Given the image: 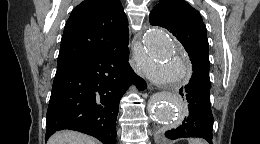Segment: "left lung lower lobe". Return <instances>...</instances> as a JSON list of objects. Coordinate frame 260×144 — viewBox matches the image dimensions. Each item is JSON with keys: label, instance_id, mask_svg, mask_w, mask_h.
<instances>
[{"label": "left lung lower lobe", "instance_id": "obj_1", "mask_svg": "<svg viewBox=\"0 0 260 144\" xmlns=\"http://www.w3.org/2000/svg\"><path fill=\"white\" fill-rule=\"evenodd\" d=\"M193 67L191 79L179 90L180 96L188 104L183 121L175 129L165 133L169 139L201 137L212 144L213 115L210 105L209 62L191 57Z\"/></svg>", "mask_w": 260, "mask_h": 144}]
</instances>
